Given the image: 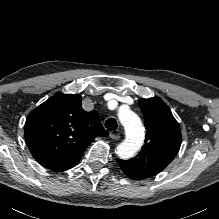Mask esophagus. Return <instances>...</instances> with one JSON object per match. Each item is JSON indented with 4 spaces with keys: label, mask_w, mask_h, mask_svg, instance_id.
Here are the masks:
<instances>
[{
    "label": "esophagus",
    "mask_w": 219,
    "mask_h": 219,
    "mask_svg": "<svg viewBox=\"0 0 219 219\" xmlns=\"http://www.w3.org/2000/svg\"><path fill=\"white\" fill-rule=\"evenodd\" d=\"M109 137H110L112 140H119V139H120L119 133H116V132H114V131H111V132H110Z\"/></svg>",
    "instance_id": "obj_1"
}]
</instances>
